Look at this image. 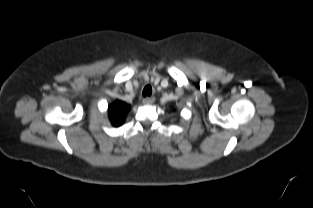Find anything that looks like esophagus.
Returning <instances> with one entry per match:
<instances>
[{
    "label": "esophagus",
    "mask_w": 313,
    "mask_h": 208,
    "mask_svg": "<svg viewBox=\"0 0 313 208\" xmlns=\"http://www.w3.org/2000/svg\"><path fill=\"white\" fill-rule=\"evenodd\" d=\"M155 101V97H146L143 99V103L146 105L152 104Z\"/></svg>",
    "instance_id": "obj_1"
}]
</instances>
